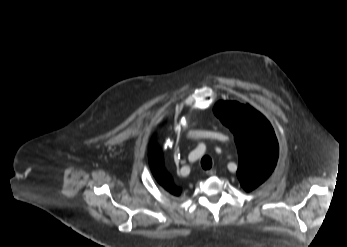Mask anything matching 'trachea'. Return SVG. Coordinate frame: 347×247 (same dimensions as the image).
<instances>
[{"instance_id":"trachea-1","label":"trachea","mask_w":347,"mask_h":247,"mask_svg":"<svg viewBox=\"0 0 347 247\" xmlns=\"http://www.w3.org/2000/svg\"><path fill=\"white\" fill-rule=\"evenodd\" d=\"M201 166L203 169L208 170L212 167V160L209 156H204L201 160Z\"/></svg>"}]
</instances>
